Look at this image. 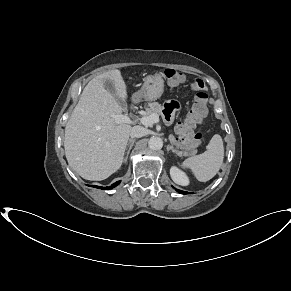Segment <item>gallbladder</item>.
Wrapping results in <instances>:
<instances>
[{"mask_svg":"<svg viewBox=\"0 0 291 291\" xmlns=\"http://www.w3.org/2000/svg\"><path fill=\"white\" fill-rule=\"evenodd\" d=\"M105 88L112 94L115 96L117 102L119 103V105L122 107V108H126V103L119 97L116 96L115 94V87L113 85V83L111 81H106L105 82Z\"/></svg>","mask_w":291,"mask_h":291,"instance_id":"gallbladder-1","label":"gallbladder"}]
</instances>
